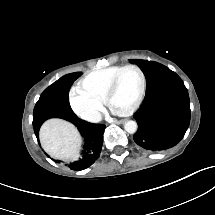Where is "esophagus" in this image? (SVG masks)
Here are the masks:
<instances>
[{
  "instance_id": "obj_1",
  "label": "esophagus",
  "mask_w": 215,
  "mask_h": 215,
  "mask_svg": "<svg viewBox=\"0 0 215 215\" xmlns=\"http://www.w3.org/2000/svg\"><path fill=\"white\" fill-rule=\"evenodd\" d=\"M113 122V121H112ZM115 123H121V121H117V122H115Z\"/></svg>"
}]
</instances>
